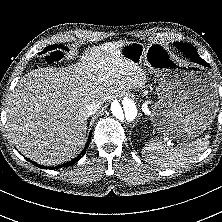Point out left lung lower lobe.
Masks as SVG:
<instances>
[{
    "label": "left lung lower lobe",
    "instance_id": "obj_1",
    "mask_svg": "<svg viewBox=\"0 0 222 222\" xmlns=\"http://www.w3.org/2000/svg\"><path fill=\"white\" fill-rule=\"evenodd\" d=\"M192 61L202 64L204 66H209L208 63L206 61H204L203 59L197 58L196 56H194L193 54H188L187 55Z\"/></svg>",
    "mask_w": 222,
    "mask_h": 222
}]
</instances>
